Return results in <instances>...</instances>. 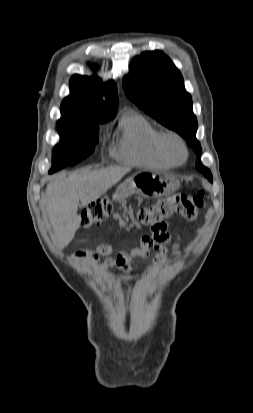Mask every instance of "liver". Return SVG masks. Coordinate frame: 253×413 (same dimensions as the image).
<instances>
[{"instance_id":"obj_1","label":"liver","mask_w":253,"mask_h":413,"mask_svg":"<svg viewBox=\"0 0 253 413\" xmlns=\"http://www.w3.org/2000/svg\"><path fill=\"white\" fill-rule=\"evenodd\" d=\"M130 168L110 166L99 170L84 169L62 176L47 185L46 209L52 225V240L59 250L74 238L80 226L78 204L87 206L105 194Z\"/></svg>"}]
</instances>
